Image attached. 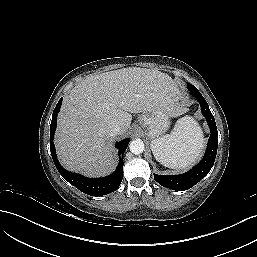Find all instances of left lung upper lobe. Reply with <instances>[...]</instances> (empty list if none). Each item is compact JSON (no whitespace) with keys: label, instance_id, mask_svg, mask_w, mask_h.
Listing matches in <instances>:
<instances>
[{"label":"left lung upper lobe","instance_id":"obj_1","mask_svg":"<svg viewBox=\"0 0 257 257\" xmlns=\"http://www.w3.org/2000/svg\"><path fill=\"white\" fill-rule=\"evenodd\" d=\"M188 90L191 92H199L196 87H194L192 84H188Z\"/></svg>","mask_w":257,"mask_h":257}]
</instances>
